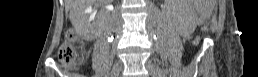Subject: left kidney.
Wrapping results in <instances>:
<instances>
[{"instance_id":"left-kidney-1","label":"left kidney","mask_w":258,"mask_h":77,"mask_svg":"<svg viewBox=\"0 0 258 77\" xmlns=\"http://www.w3.org/2000/svg\"><path fill=\"white\" fill-rule=\"evenodd\" d=\"M182 18H183V23L185 22V23L191 24L192 18H191L190 10L188 8H186L183 11ZM181 21H182V19H181Z\"/></svg>"}]
</instances>
